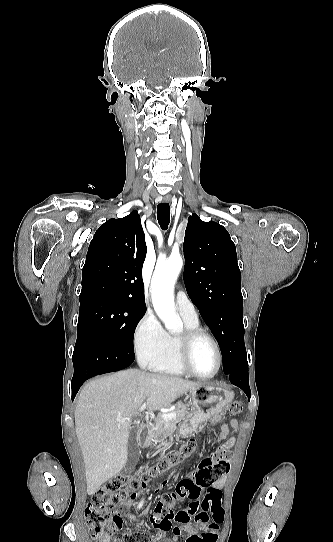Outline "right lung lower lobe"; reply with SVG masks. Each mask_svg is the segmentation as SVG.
<instances>
[{
	"label": "right lung lower lobe",
	"mask_w": 333,
	"mask_h": 542,
	"mask_svg": "<svg viewBox=\"0 0 333 542\" xmlns=\"http://www.w3.org/2000/svg\"><path fill=\"white\" fill-rule=\"evenodd\" d=\"M135 359L113 345L100 332L84 329L77 334L72 356L74 374L71 381L72 400L81 385L96 375L115 372L130 366Z\"/></svg>",
	"instance_id": "98d812e1"
}]
</instances>
